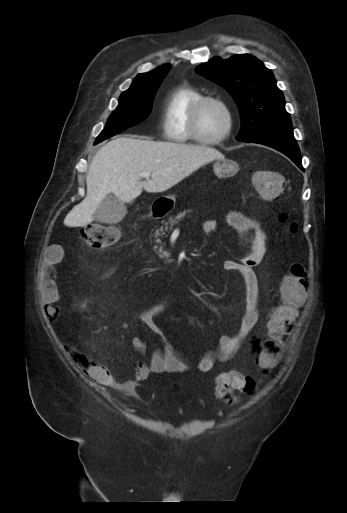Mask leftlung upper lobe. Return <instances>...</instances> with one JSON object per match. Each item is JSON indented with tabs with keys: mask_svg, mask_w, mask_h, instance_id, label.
Returning a JSON list of instances; mask_svg holds the SVG:
<instances>
[{
	"mask_svg": "<svg viewBox=\"0 0 347 513\" xmlns=\"http://www.w3.org/2000/svg\"><path fill=\"white\" fill-rule=\"evenodd\" d=\"M196 71L225 88L236 102L241 118L237 141L292 127L273 73L255 57L248 54L226 60L216 57L198 66Z\"/></svg>",
	"mask_w": 347,
	"mask_h": 513,
	"instance_id": "5c2ea615",
	"label": "left lung upper lobe"
}]
</instances>
